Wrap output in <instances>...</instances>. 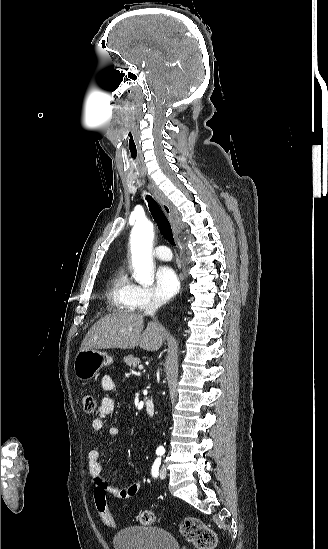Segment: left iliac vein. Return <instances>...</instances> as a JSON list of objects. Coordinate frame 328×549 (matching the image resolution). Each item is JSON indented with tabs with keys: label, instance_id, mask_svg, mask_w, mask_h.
Here are the masks:
<instances>
[{
	"label": "left iliac vein",
	"instance_id": "1",
	"mask_svg": "<svg viewBox=\"0 0 328 549\" xmlns=\"http://www.w3.org/2000/svg\"><path fill=\"white\" fill-rule=\"evenodd\" d=\"M159 474H160L161 479H164L166 477V467H165V465L161 466Z\"/></svg>",
	"mask_w": 328,
	"mask_h": 549
}]
</instances>
